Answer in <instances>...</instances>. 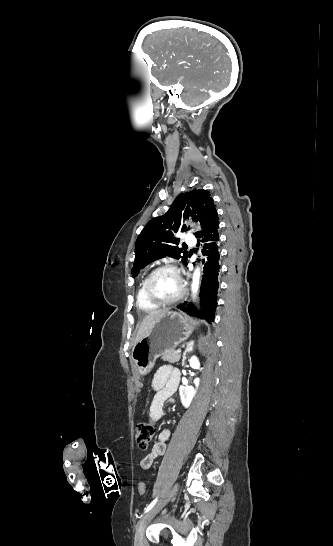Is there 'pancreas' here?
<instances>
[{
	"instance_id": "obj_1",
	"label": "pancreas",
	"mask_w": 333,
	"mask_h": 546,
	"mask_svg": "<svg viewBox=\"0 0 333 546\" xmlns=\"http://www.w3.org/2000/svg\"><path fill=\"white\" fill-rule=\"evenodd\" d=\"M180 357H181L180 353H178L176 350H172V351L163 353L161 359L169 363H176L180 360Z\"/></svg>"
}]
</instances>
